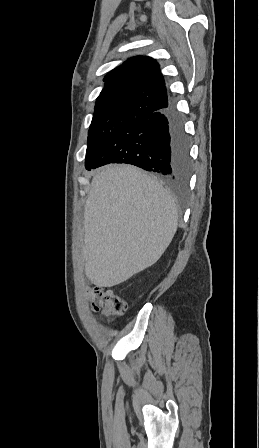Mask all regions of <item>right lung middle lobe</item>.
I'll return each mask as SVG.
<instances>
[{
    "label": "right lung middle lobe",
    "mask_w": 259,
    "mask_h": 448,
    "mask_svg": "<svg viewBox=\"0 0 259 448\" xmlns=\"http://www.w3.org/2000/svg\"><path fill=\"white\" fill-rule=\"evenodd\" d=\"M141 114L130 113H94L88 131V146L85 168L90 170L92 164L112 142V140L136 117Z\"/></svg>",
    "instance_id": "right-lung-middle-lobe-1"
}]
</instances>
